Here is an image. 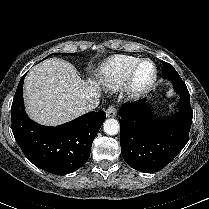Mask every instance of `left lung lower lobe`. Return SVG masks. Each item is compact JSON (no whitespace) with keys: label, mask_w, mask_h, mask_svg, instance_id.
<instances>
[{"label":"left lung lower lobe","mask_w":209,"mask_h":209,"mask_svg":"<svg viewBox=\"0 0 209 209\" xmlns=\"http://www.w3.org/2000/svg\"><path fill=\"white\" fill-rule=\"evenodd\" d=\"M181 95L180 113L158 120L145 100L127 103L120 109V144L125 162L132 168L154 173L163 169L184 148L189 139L193 111L189 91L180 76L168 78Z\"/></svg>","instance_id":"obj_1"}]
</instances>
